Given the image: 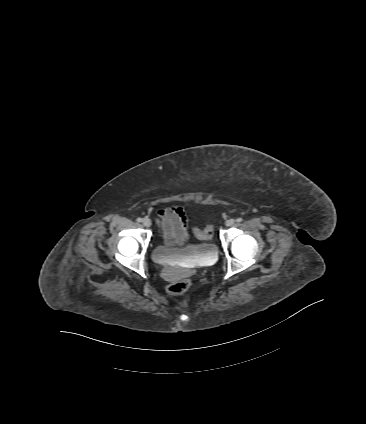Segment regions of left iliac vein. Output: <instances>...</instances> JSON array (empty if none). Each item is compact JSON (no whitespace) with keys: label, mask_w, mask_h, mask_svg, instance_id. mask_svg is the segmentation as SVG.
I'll use <instances>...</instances> for the list:
<instances>
[{"label":"left iliac vein","mask_w":366,"mask_h":424,"mask_svg":"<svg viewBox=\"0 0 366 424\" xmlns=\"http://www.w3.org/2000/svg\"><path fill=\"white\" fill-rule=\"evenodd\" d=\"M235 224V220L234 219H228L227 221H226V225L227 226H233Z\"/></svg>","instance_id":"left-iliac-vein-1"}]
</instances>
